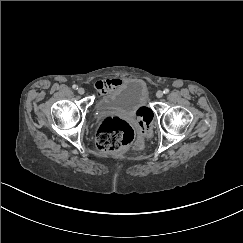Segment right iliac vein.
Listing matches in <instances>:
<instances>
[{
    "label": "right iliac vein",
    "instance_id": "63e3f726",
    "mask_svg": "<svg viewBox=\"0 0 243 243\" xmlns=\"http://www.w3.org/2000/svg\"><path fill=\"white\" fill-rule=\"evenodd\" d=\"M78 93L81 94V95L84 94V93H85L84 88L80 87V88L78 89Z\"/></svg>",
    "mask_w": 243,
    "mask_h": 243
}]
</instances>
